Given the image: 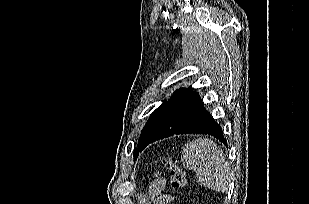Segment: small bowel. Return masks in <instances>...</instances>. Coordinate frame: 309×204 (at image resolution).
I'll return each mask as SVG.
<instances>
[{"instance_id": "1", "label": "small bowel", "mask_w": 309, "mask_h": 204, "mask_svg": "<svg viewBox=\"0 0 309 204\" xmlns=\"http://www.w3.org/2000/svg\"><path fill=\"white\" fill-rule=\"evenodd\" d=\"M167 182L159 173H155L149 186L148 199L152 204H169L173 197L165 193Z\"/></svg>"}]
</instances>
